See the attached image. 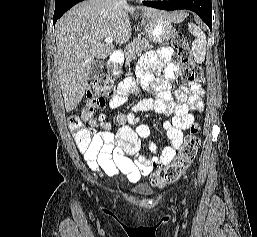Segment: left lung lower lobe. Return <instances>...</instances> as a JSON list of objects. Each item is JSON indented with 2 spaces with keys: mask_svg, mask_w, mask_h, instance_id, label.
Segmentation results:
<instances>
[{
  "mask_svg": "<svg viewBox=\"0 0 257 237\" xmlns=\"http://www.w3.org/2000/svg\"><path fill=\"white\" fill-rule=\"evenodd\" d=\"M144 5L161 10L187 9L197 13L200 18L212 27V4L211 0H169L158 2H143Z\"/></svg>",
  "mask_w": 257,
  "mask_h": 237,
  "instance_id": "left-lung-lower-lobe-1",
  "label": "left lung lower lobe"
}]
</instances>
